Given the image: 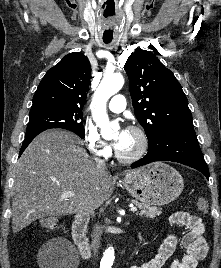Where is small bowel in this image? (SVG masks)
Masks as SVG:
<instances>
[{"label":"small bowel","mask_w":221,"mask_h":268,"mask_svg":"<svg viewBox=\"0 0 221 268\" xmlns=\"http://www.w3.org/2000/svg\"><path fill=\"white\" fill-rule=\"evenodd\" d=\"M171 224L184 226L187 229L181 244L185 255L169 263L168 268H197L208 253V245L203 237L205 226L202 220L185 211H178L169 217ZM177 245V238L172 234L165 235L157 254L149 261L134 265L131 268H161L172 256Z\"/></svg>","instance_id":"obj_1"}]
</instances>
